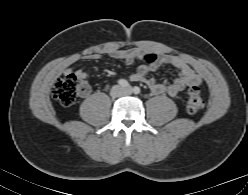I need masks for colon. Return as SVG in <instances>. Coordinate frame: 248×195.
<instances>
[{
    "instance_id": "obj_1",
    "label": "colon",
    "mask_w": 248,
    "mask_h": 195,
    "mask_svg": "<svg viewBox=\"0 0 248 195\" xmlns=\"http://www.w3.org/2000/svg\"><path fill=\"white\" fill-rule=\"evenodd\" d=\"M142 59L147 63H153L157 56L155 54H145ZM86 90V84L81 82L77 75L71 73L58 78L52 85V96L63 106L72 105L79 94ZM204 106L200 88L192 86L187 95V112L191 115L199 112Z\"/></svg>"
}]
</instances>
